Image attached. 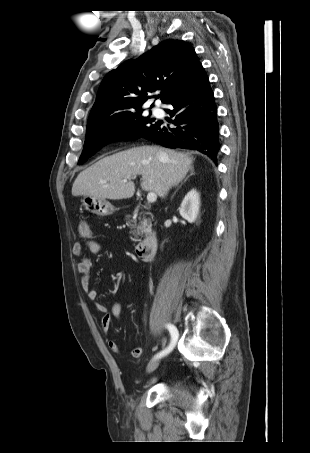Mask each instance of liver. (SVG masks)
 Listing matches in <instances>:
<instances>
[{
  "label": "liver",
  "mask_w": 310,
  "mask_h": 453,
  "mask_svg": "<svg viewBox=\"0 0 310 453\" xmlns=\"http://www.w3.org/2000/svg\"><path fill=\"white\" fill-rule=\"evenodd\" d=\"M192 163L191 156L174 150L134 147L104 157L80 172L73 183L72 195L110 200L131 198L135 192L132 179L141 175V188L163 197L166 190L183 180Z\"/></svg>",
  "instance_id": "liver-1"
}]
</instances>
